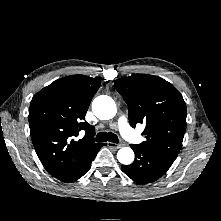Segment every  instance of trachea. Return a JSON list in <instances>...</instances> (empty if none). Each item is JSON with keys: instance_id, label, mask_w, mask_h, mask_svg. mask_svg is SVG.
Returning a JSON list of instances; mask_svg holds the SVG:
<instances>
[{"instance_id": "3493384b", "label": "trachea", "mask_w": 221, "mask_h": 221, "mask_svg": "<svg viewBox=\"0 0 221 221\" xmlns=\"http://www.w3.org/2000/svg\"><path fill=\"white\" fill-rule=\"evenodd\" d=\"M96 141L97 142H113V143H119V139L116 134L112 132H100L96 135Z\"/></svg>"}]
</instances>
